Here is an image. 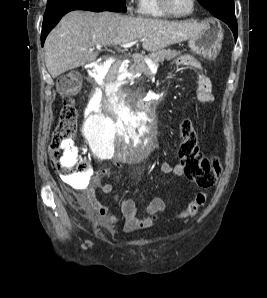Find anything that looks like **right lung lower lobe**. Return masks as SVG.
I'll use <instances>...</instances> for the list:
<instances>
[{
	"label": "right lung lower lobe",
	"instance_id": "obj_1",
	"mask_svg": "<svg viewBox=\"0 0 267 298\" xmlns=\"http://www.w3.org/2000/svg\"><path fill=\"white\" fill-rule=\"evenodd\" d=\"M72 10H88V11H94V12H101L106 11V9L100 8L93 4L88 3H73L69 4L67 6H64L63 8L57 10L54 14L49 16L48 18L43 19L42 24V34H41V44L43 46L45 38L49 31L59 22V20L68 12Z\"/></svg>",
	"mask_w": 267,
	"mask_h": 298
}]
</instances>
